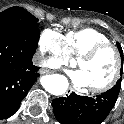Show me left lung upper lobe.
I'll use <instances>...</instances> for the list:
<instances>
[{
	"label": "left lung upper lobe",
	"instance_id": "obj_1",
	"mask_svg": "<svg viewBox=\"0 0 124 124\" xmlns=\"http://www.w3.org/2000/svg\"><path fill=\"white\" fill-rule=\"evenodd\" d=\"M117 47H118V50H119L120 55H121V60L123 62V50L121 48V45L119 43H117ZM115 86H118L119 88H121V78L117 81Z\"/></svg>",
	"mask_w": 124,
	"mask_h": 124
}]
</instances>
